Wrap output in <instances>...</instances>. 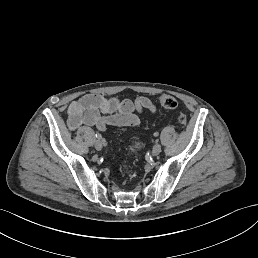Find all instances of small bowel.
Here are the masks:
<instances>
[{"label":"small bowel","instance_id":"small-bowel-1","mask_svg":"<svg viewBox=\"0 0 258 258\" xmlns=\"http://www.w3.org/2000/svg\"><path fill=\"white\" fill-rule=\"evenodd\" d=\"M144 110L156 112L153 102L147 97L130 99L107 98L100 94H87L71 102L68 107V127L76 130L82 125L104 131L108 126L136 127L139 114Z\"/></svg>","mask_w":258,"mask_h":258}]
</instances>
